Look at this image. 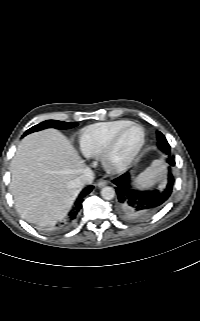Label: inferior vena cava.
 Masks as SVG:
<instances>
[{
  "label": "inferior vena cava",
  "instance_id": "1",
  "mask_svg": "<svg viewBox=\"0 0 200 321\" xmlns=\"http://www.w3.org/2000/svg\"><path fill=\"white\" fill-rule=\"evenodd\" d=\"M94 180V173L90 168H86L83 171V174L80 175L78 178L75 179V185L77 187H84L86 185L92 184Z\"/></svg>",
  "mask_w": 200,
  "mask_h": 321
}]
</instances>
